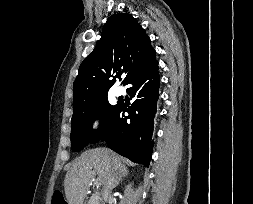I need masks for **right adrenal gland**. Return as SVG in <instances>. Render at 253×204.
I'll return each instance as SVG.
<instances>
[{
  "mask_svg": "<svg viewBox=\"0 0 253 204\" xmlns=\"http://www.w3.org/2000/svg\"><path fill=\"white\" fill-rule=\"evenodd\" d=\"M128 175V169L126 167H123L120 171H119V177L115 183V187H117L119 185V182L121 180L122 177H126Z\"/></svg>",
  "mask_w": 253,
  "mask_h": 204,
  "instance_id": "right-adrenal-gland-1",
  "label": "right adrenal gland"
}]
</instances>
